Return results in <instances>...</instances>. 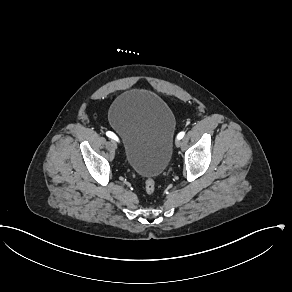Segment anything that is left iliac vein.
Instances as JSON below:
<instances>
[{
	"instance_id": "obj_1",
	"label": "left iliac vein",
	"mask_w": 292,
	"mask_h": 292,
	"mask_svg": "<svg viewBox=\"0 0 292 292\" xmlns=\"http://www.w3.org/2000/svg\"><path fill=\"white\" fill-rule=\"evenodd\" d=\"M175 145H176L177 147H180V146H181V140H180V139H177V140L175 141Z\"/></svg>"
}]
</instances>
